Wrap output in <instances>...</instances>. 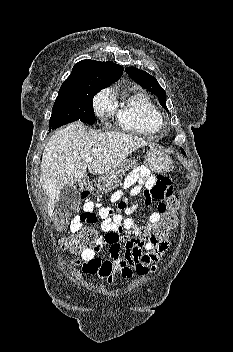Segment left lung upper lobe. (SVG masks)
Returning a JSON list of instances; mask_svg holds the SVG:
<instances>
[{
  "label": "left lung upper lobe",
  "instance_id": "obj_1",
  "mask_svg": "<svg viewBox=\"0 0 233 352\" xmlns=\"http://www.w3.org/2000/svg\"><path fill=\"white\" fill-rule=\"evenodd\" d=\"M126 73L140 86L149 90L151 93L155 94L158 97L160 104L166 109V92L159 85L156 78L149 75L147 72L137 69L135 67H127L125 69ZM181 152L185 153L181 148Z\"/></svg>",
  "mask_w": 233,
  "mask_h": 352
}]
</instances>
